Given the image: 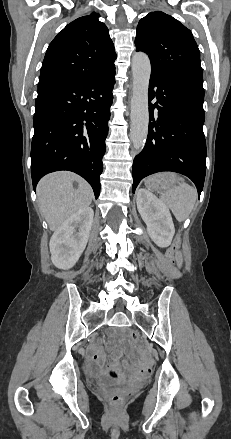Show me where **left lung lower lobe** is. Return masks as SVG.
Here are the masks:
<instances>
[{"mask_svg": "<svg viewBox=\"0 0 231 439\" xmlns=\"http://www.w3.org/2000/svg\"><path fill=\"white\" fill-rule=\"evenodd\" d=\"M203 101V81L151 74L148 137L134 159L133 193L144 177L173 171L189 177L200 195L206 173Z\"/></svg>", "mask_w": 231, "mask_h": 439, "instance_id": "left-lung-lower-lobe-1", "label": "left lung lower lobe"}]
</instances>
